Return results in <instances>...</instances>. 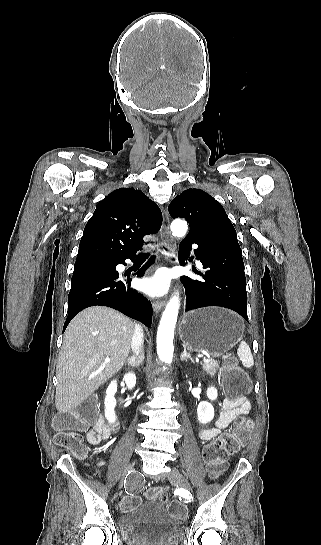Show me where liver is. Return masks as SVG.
Masks as SVG:
<instances>
[{
    "instance_id": "6515ba94",
    "label": "liver",
    "mask_w": 321,
    "mask_h": 545,
    "mask_svg": "<svg viewBox=\"0 0 321 545\" xmlns=\"http://www.w3.org/2000/svg\"><path fill=\"white\" fill-rule=\"evenodd\" d=\"M135 325L109 307H89L69 323L61 347L55 405L71 413L122 369ZM110 359L105 363L104 359Z\"/></svg>"
}]
</instances>
